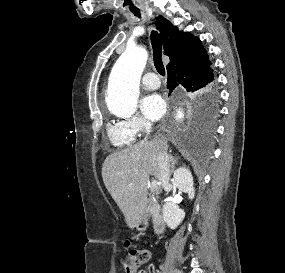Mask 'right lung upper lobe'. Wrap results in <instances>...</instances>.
Segmentation results:
<instances>
[{
	"label": "right lung upper lobe",
	"instance_id": "cb5924a9",
	"mask_svg": "<svg viewBox=\"0 0 285 273\" xmlns=\"http://www.w3.org/2000/svg\"><path fill=\"white\" fill-rule=\"evenodd\" d=\"M155 23L164 42V54L170 58L167 70L206 52L197 37L179 32L178 28L164 17L159 16Z\"/></svg>",
	"mask_w": 285,
	"mask_h": 273
}]
</instances>
